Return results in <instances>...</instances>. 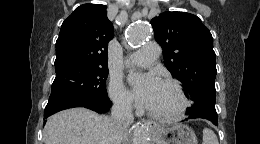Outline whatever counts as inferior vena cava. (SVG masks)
<instances>
[{
    "label": "inferior vena cava",
    "instance_id": "1",
    "mask_svg": "<svg viewBox=\"0 0 260 144\" xmlns=\"http://www.w3.org/2000/svg\"><path fill=\"white\" fill-rule=\"evenodd\" d=\"M111 117L114 129L118 133L124 132L128 125L134 121L131 101L125 98L116 99L111 109Z\"/></svg>",
    "mask_w": 260,
    "mask_h": 144
}]
</instances>
